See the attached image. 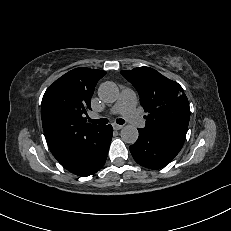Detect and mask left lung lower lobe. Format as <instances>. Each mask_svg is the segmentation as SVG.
<instances>
[{
	"mask_svg": "<svg viewBox=\"0 0 231 231\" xmlns=\"http://www.w3.org/2000/svg\"><path fill=\"white\" fill-rule=\"evenodd\" d=\"M139 138L130 146L135 161L149 169L166 166L181 150L184 140L166 133L143 128Z\"/></svg>",
	"mask_w": 231,
	"mask_h": 231,
	"instance_id": "1",
	"label": "left lung lower lobe"
}]
</instances>
